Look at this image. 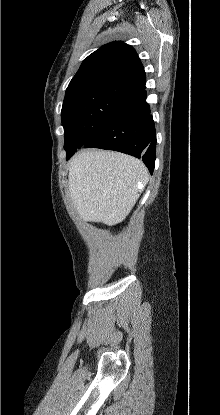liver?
Instances as JSON below:
<instances>
[{
	"instance_id": "obj_1",
	"label": "liver",
	"mask_w": 220,
	"mask_h": 415,
	"mask_svg": "<svg viewBox=\"0 0 220 415\" xmlns=\"http://www.w3.org/2000/svg\"><path fill=\"white\" fill-rule=\"evenodd\" d=\"M69 194L84 221L115 225L136 204L138 185L148 182L141 160L112 151L83 150L69 167Z\"/></svg>"
}]
</instances>
